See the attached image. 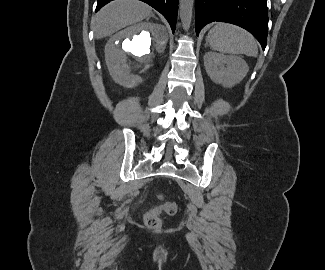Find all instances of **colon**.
Instances as JSON below:
<instances>
[{
  "label": "colon",
  "instance_id": "colon-1",
  "mask_svg": "<svg viewBox=\"0 0 325 270\" xmlns=\"http://www.w3.org/2000/svg\"><path fill=\"white\" fill-rule=\"evenodd\" d=\"M177 212V204L174 201H164L160 205L148 210L144 216L145 224L153 229L161 226V214L174 215Z\"/></svg>",
  "mask_w": 325,
  "mask_h": 270
}]
</instances>
